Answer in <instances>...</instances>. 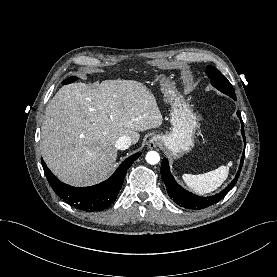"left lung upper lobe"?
<instances>
[{"mask_svg": "<svg viewBox=\"0 0 277 277\" xmlns=\"http://www.w3.org/2000/svg\"><path fill=\"white\" fill-rule=\"evenodd\" d=\"M206 73L215 88H217L222 93L230 96L232 99L236 100L235 92L232 85L220 71H218L213 66H208L206 69Z\"/></svg>", "mask_w": 277, "mask_h": 277, "instance_id": "obj_1", "label": "left lung upper lobe"}]
</instances>
